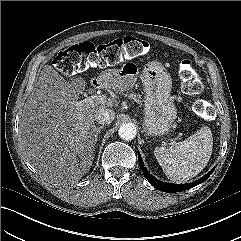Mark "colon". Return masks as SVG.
<instances>
[{
    "instance_id": "1",
    "label": "colon",
    "mask_w": 241,
    "mask_h": 241,
    "mask_svg": "<svg viewBox=\"0 0 241 241\" xmlns=\"http://www.w3.org/2000/svg\"><path fill=\"white\" fill-rule=\"evenodd\" d=\"M149 44L136 37H124L106 44L95 45L83 42L58 53L53 60L54 67L65 75H73L90 67L109 66L123 58H135L148 53ZM182 90L189 96L201 93L202 84L190 60H183L179 68ZM193 111L200 116L211 114L204 100H195Z\"/></svg>"
}]
</instances>
